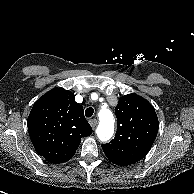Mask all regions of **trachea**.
<instances>
[{"mask_svg": "<svg viewBox=\"0 0 194 194\" xmlns=\"http://www.w3.org/2000/svg\"><path fill=\"white\" fill-rule=\"evenodd\" d=\"M93 113H94V109H93L92 107H89V108H87V109L85 110V116H86L87 118L92 117Z\"/></svg>", "mask_w": 194, "mask_h": 194, "instance_id": "1", "label": "trachea"}]
</instances>
